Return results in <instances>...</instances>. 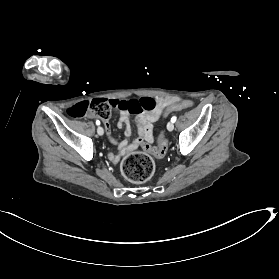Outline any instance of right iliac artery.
<instances>
[{"label": "right iliac artery", "mask_w": 279, "mask_h": 279, "mask_svg": "<svg viewBox=\"0 0 279 279\" xmlns=\"http://www.w3.org/2000/svg\"><path fill=\"white\" fill-rule=\"evenodd\" d=\"M96 125H100V121L99 120L96 121Z\"/></svg>", "instance_id": "right-iliac-artery-1"}]
</instances>
